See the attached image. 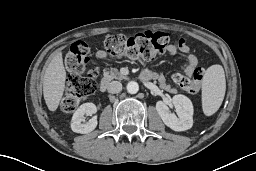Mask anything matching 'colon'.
<instances>
[{"label": "colon", "instance_id": "colon-1", "mask_svg": "<svg viewBox=\"0 0 256 171\" xmlns=\"http://www.w3.org/2000/svg\"><path fill=\"white\" fill-rule=\"evenodd\" d=\"M170 42L166 31H145L134 35H110L105 39V50L112 57L127 55L130 58L151 60L165 52ZM90 48L84 41L74 42L65 58L69 71L61 107L66 112L74 111L80 103L92 95L96 88V73L88 71ZM204 71L198 67L191 76L173 75L175 84L185 92L196 93L201 87Z\"/></svg>", "mask_w": 256, "mask_h": 171}]
</instances>
